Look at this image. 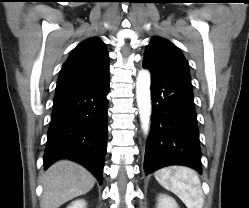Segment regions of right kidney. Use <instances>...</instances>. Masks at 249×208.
<instances>
[{"label":"right kidney","mask_w":249,"mask_h":208,"mask_svg":"<svg viewBox=\"0 0 249 208\" xmlns=\"http://www.w3.org/2000/svg\"><path fill=\"white\" fill-rule=\"evenodd\" d=\"M67 208H86V203L84 200H76Z\"/></svg>","instance_id":"ca27d5eb"}]
</instances>
